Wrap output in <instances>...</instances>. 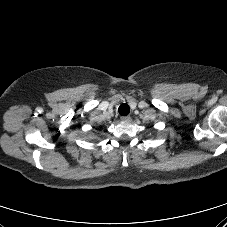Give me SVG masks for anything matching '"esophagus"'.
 I'll use <instances>...</instances> for the list:
<instances>
[{
    "instance_id": "34e87169",
    "label": "esophagus",
    "mask_w": 227,
    "mask_h": 227,
    "mask_svg": "<svg viewBox=\"0 0 227 227\" xmlns=\"http://www.w3.org/2000/svg\"><path fill=\"white\" fill-rule=\"evenodd\" d=\"M130 119H131L130 116H122L121 117L122 121H130Z\"/></svg>"
}]
</instances>
